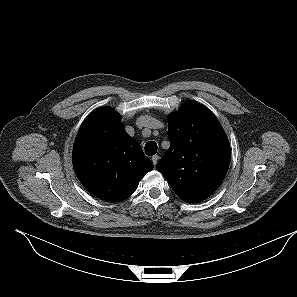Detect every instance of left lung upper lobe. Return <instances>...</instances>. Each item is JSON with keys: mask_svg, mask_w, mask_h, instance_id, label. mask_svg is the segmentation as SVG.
<instances>
[{"mask_svg": "<svg viewBox=\"0 0 297 297\" xmlns=\"http://www.w3.org/2000/svg\"><path fill=\"white\" fill-rule=\"evenodd\" d=\"M170 148L157 164L174 192L197 203L221 185L230 163L228 138L203 105L189 101L168 118Z\"/></svg>", "mask_w": 297, "mask_h": 297, "instance_id": "left-lung-upper-lobe-1", "label": "left lung upper lobe"}]
</instances>
